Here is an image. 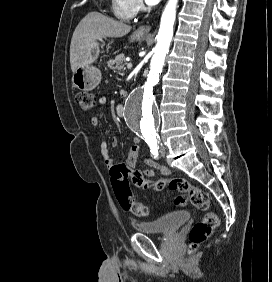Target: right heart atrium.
Wrapping results in <instances>:
<instances>
[{"label": "right heart atrium", "instance_id": "right-heart-atrium-1", "mask_svg": "<svg viewBox=\"0 0 272 282\" xmlns=\"http://www.w3.org/2000/svg\"><path fill=\"white\" fill-rule=\"evenodd\" d=\"M128 1H129L128 10L130 12L135 13L140 10L141 8L140 0H128Z\"/></svg>", "mask_w": 272, "mask_h": 282}]
</instances>
